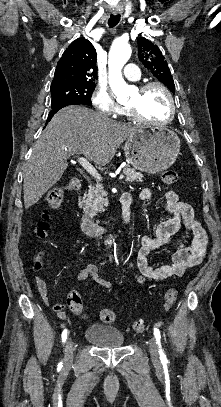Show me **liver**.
<instances>
[{"label": "liver", "mask_w": 221, "mask_h": 407, "mask_svg": "<svg viewBox=\"0 0 221 407\" xmlns=\"http://www.w3.org/2000/svg\"><path fill=\"white\" fill-rule=\"evenodd\" d=\"M139 127L121 123L87 107L58 111L33 146L23 172L24 206L37 203L63 176L71 155L83 154L99 166Z\"/></svg>", "instance_id": "1"}]
</instances>
